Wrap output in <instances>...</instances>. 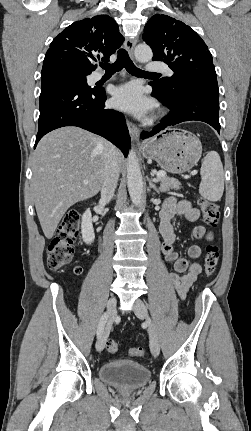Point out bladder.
Segmentation results:
<instances>
[{"mask_svg": "<svg viewBox=\"0 0 251 431\" xmlns=\"http://www.w3.org/2000/svg\"><path fill=\"white\" fill-rule=\"evenodd\" d=\"M98 374L101 380L121 391L141 388L151 378V373L146 367L130 360L106 362L99 368Z\"/></svg>", "mask_w": 251, "mask_h": 431, "instance_id": "obj_1", "label": "bladder"}]
</instances>
